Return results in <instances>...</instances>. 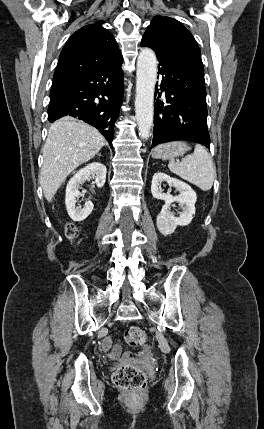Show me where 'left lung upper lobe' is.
I'll use <instances>...</instances> for the list:
<instances>
[{
  "instance_id": "5c2ea615",
  "label": "left lung upper lobe",
  "mask_w": 264,
  "mask_h": 429,
  "mask_svg": "<svg viewBox=\"0 0 264 429\" xmlns=\"http://www.w3.org/2000/svg\"><path fill=\"white\" fill-rule=\"evenodd\" d=\"M144 36L178 53L200 76L204 77L200 49L190 31L179 21L169 17H154Z\"/></svg>"
}]
</instances>
